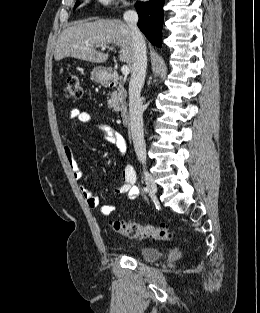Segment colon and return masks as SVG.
I'll return each mask as SVG.
<instances>
[{
    "mask_svg": "<svg viewBox=\"0 0 260 313\" xmlns=\"http://www.w3.org/2000/svg\"><path fill=\"white\" fill-rule=\"evenodd\" d=\"M83 95V89L80 78L71 76L67 79L63 96L65 99H80ZM111 227L117 233L129 238L154 241H170L173 234L163 225H141L136 222H125L121 220H113L110 222Z\"/></svg>",
    "mask_w": 260,
    "mask_h": 313,
    "instance_id": "obj_1",
    "label": "colon"
}]
</instances>
